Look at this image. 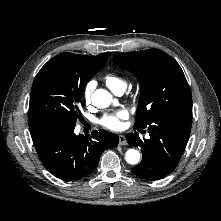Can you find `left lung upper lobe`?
Instances as JSON below:
<instances>
[{
    "label": "left lung upper lobe",
    "instance_id": "left-lung-upper-lobe-1",
    "mask_svg": "<svg viewBox=\"0 0 221 221\" xmlns=\"http://www.w3.org/2000/svg\"><path fill=\"white\" fill-rule=\"evenodd\" d=\"M118 66L140 82V99L134 128H145L162 115L192 116V96L179 64L159 49L114 55Z\"/></svg>",
    "mask_w": 221,
    "mask_h": 221
}]
</instances>
